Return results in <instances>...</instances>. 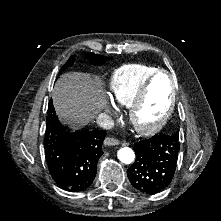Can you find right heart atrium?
Masks as SVG:
<instances>
[{
  "label": "right heart atrium",
  "mask_w": 221,
  "mask_h": 221,
  "mask_svg": "<svg viewBox=\"0 0 221 221\" xmlns=\"http://www.w3.org/2000/svg\"><path fill=\"white\" fill-rule=\"evenodd\" d=\"M108 108L110 110L111 113L115 114L116 113V107L114 106V104L112 102H109Z\"/></svg>",
  "instance_id": "1"
}]
</instances>
